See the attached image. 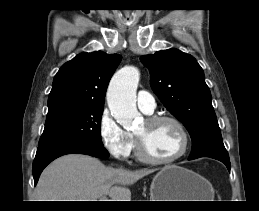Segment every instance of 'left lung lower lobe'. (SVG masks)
<instances>
[{"label":"left lung lower lobe","instance_id":"left-lung-lower-lobe-1","mask_svg":"<svg viewBox=\"0 0 259 211\" xmlns=\"http://www.w3.org/2000/svg\"><path fill=\"white\" fill-rule=\"evenodd\" d=\"M203 157H211V158H214V159H217L221 162H223L226 167L228 168V170L230 171V161H229V157H219V156H203ZM191 160V159H189Z\"/></svg>","mask_w":259,"mask_h":211}]
</instances>
